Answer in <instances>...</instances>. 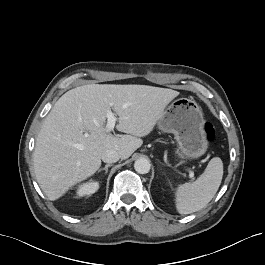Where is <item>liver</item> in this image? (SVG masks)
<instances>
[{
	"label": "liver",
	"instance_id": "1",
	"mask_svg": "<svg viewBox=\"0 0 265 265\" xmlns=\"http://www.w3.org/2000/svg\"><path fill=\"white\" fill-rule=\"evenodd\" d=\"M178 95L147 85L88 84L67 91L44 119L33 153L36 179L48 199L91 177L106 150L128 159ZM111 109L119 116L116 129L125 135L106 130Z\"/></svg>",
	"mask_w": 265,
	"mask_h": 265
}]
</instances>
